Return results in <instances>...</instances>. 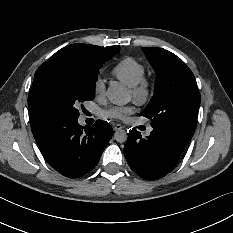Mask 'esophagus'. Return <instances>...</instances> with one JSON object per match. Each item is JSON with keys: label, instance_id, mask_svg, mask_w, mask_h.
Returning a JSON list of instances; mask_svg holds the SVG:
<instances>
[{"label": "esophagus", "instance_id": "esophagus-1", "mask_svg": "<svg viewBox=\"0 0 233 233\" xmlns=\"http://www.w3.org/2000/svg\"><path fill=\"white\" fill-rule=\"evenodd\" d=\"M122 128H123V126L121 124H113V130L114 131L121 130Z\"/></svg>", "mask_w": 233, "mask_h": 233}]
</instances>
